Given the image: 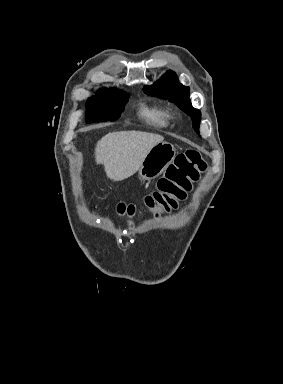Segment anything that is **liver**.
I'll list each match as a JSON object with an SVG mask.
<instances>
[{"instance_id":"1","label":"liver","mask_w":283,"mask_h":384,"mask_svg":"<svg viewBox=\"0 0 283 384\" xmlns=\"http://www.w3.org/2000/svg\"><path fill=\"white\" fill-rule=\"evenodd\" d=\"M163 140V136L148 132H111L97 142L95 160L103 164L107 178L121 182L136 174L149 150Z\"/></svg>"}]
</instances>
